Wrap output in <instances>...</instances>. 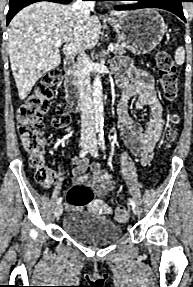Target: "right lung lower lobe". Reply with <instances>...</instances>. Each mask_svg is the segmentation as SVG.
<instances>
[{
  "instance_id": "right-lung-lower-lobe-1",
  "label": "right lung lower lobe",
  "mask_w": 193,
  "mask_h": 287,
  "mask_svg": "<svg viewBox=\"0 0 193 287\" xmlns=\"http://www.w3.org/2000/svg\"><path fill=\"white\" fill-rule=\"evenodd\" d=\"M39 1H51L61 4H68L72 0H10L9 11L7 14V25L9 24L11 19L15 16V14L19 12L22 8Z\"/></svg>"
}]
</instances>
